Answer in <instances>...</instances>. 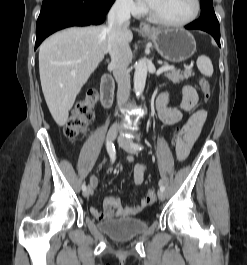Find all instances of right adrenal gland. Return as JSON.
Returning a JSON list of instances; mask_svg holds the SVG:
<instances>
[{
    "label": "right adrenal gland",
    "instance_id": "right-adrenal-gland-1",
    "mask_svg": "<svg viewBox=\"0 0 247 265\" xmlns=\"http://www.w3.org/2000/svg\"><path fill=\"white\" fill-rule=\"evenodd\" d=\"M106 62L108 63V62H109V60L107 59V60H106Z\"/></svg>",
    "mask_w": 247,
    "mask_h": 265
}]
</instances>
